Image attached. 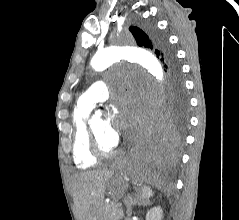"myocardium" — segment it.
Returning a JSON list of instances; mask_svg holds the SVG:
<instances>
[{"label":"myocardium","mask_w":239,"mask_h":220,"mask_svg":"<svg viewBox=\"0 0 239 220\" xmlns=\"http://www.w3.org/2000/svg\"><path fill=\"white\" fill-rule=\"evenodd\" d=\"M87 133H88L89 148L93 156H95L96 158H108L117 153L118 151L117 145H115L111 149H103L101 147L94 133V130L92 128V122L88 123Z\"/></svg>","instance_id":"myocardium-1"}]
</instances>
